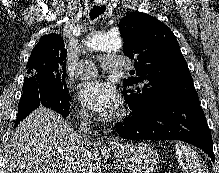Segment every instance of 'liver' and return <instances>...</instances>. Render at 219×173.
<instances>
[{"label":"liver","mask_w":219,"mask_h":173,"mask_svg":"<svg viewBox=\"0 0 219 173\" xmlns=\"http://www.w3.org/2000/svg\"><path fill=\"white\" fill-rule=\"evenodd\" d=\"M79 149L71 124L40 106L12 134L1 173H73ZM100 159L97 150L91 162L92 173H100Z\"/></svg>","instance_id":"liver-1"}]
</instances>
